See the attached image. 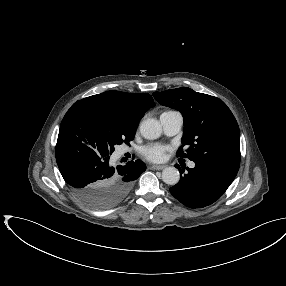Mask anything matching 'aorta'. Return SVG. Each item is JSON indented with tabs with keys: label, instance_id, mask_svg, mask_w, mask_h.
<instances>
[{
	"label": "aorta",
	"instance_id": "aorta-1",
	"mask_svg": "<svg viewBox=\"0 0 286 286\" xmlns=\"http://www.w3.org/2000/svg\"><path fill=\"white\" fill-rule=\"evenodd\" d=\"M140 133L145 139L154 140L161 136L162 129L157 121L147 119L140 125ZM180 173L175 167H166L162 171V180L168 185H175L179 182Z\"/></svg>",
	"mask_w": 286,
	"mask_h": 286
}]
</instances>
